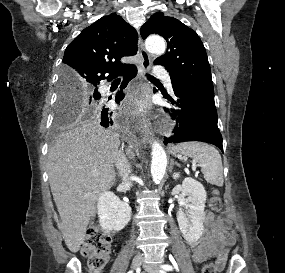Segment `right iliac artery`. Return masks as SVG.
<instances>
[{"label": "right iliac artery", "instance_id": "right-iliac-artery-1", "mask_svg": "<svg viewBox=\"0 0 285 273\" xmlns=\"http://www.w3.org/2000/svg\"><path fill=\"white\" fill-rule=\"evenodd\" d=\"M128 273H133V271H129Z\"/></svg>", "mask_w": 285, "mask_h": 273}]
</instances>
